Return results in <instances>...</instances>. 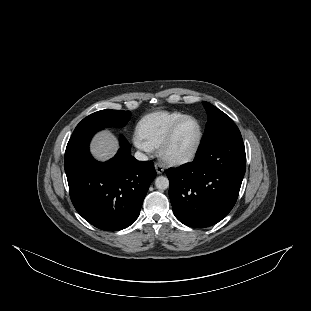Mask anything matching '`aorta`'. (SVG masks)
<instances>
[{
    "label": "aorta",
    "mask_w": 311,
    "mask_h": 311,
    "mask_svg": "<svg viewBox=\"0 0 311 311\" xmlns=\"http://www.w3.org/2000/svg\"><path fill=\"white\" fill-rule=\"evenodd\" d=\"M155 186L157 189L166 190L169 188V179L164 176H159L155 179Z\"/></svg>",
    "instance_id": "aorta-1"
}]
</instances>
